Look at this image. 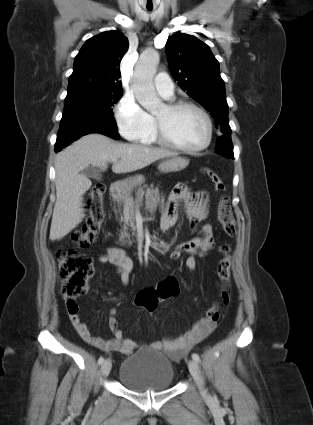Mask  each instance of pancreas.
Masks as SVG:
<instances>
[{"instance_id": "obj_1", "label": "pancreas", "mask_w": 313, "mask_h": 425, "mask_svg": "<svg viewBox=\"0 0 313 425\" xmlns=\"http://www.w3.org/2000/svg\"><path fill=\"white\" fill-rule=\"evenodd\" d=\"M143 187L146 188V191ZM143 187L137 190L135 200L132 197H127L124 201L122 217L124 225L119 237V241L122 246H130L132 244L130 240H127L130 238V234L127 230L129 226L133 231L132 234H135V210L140 207L143 196H145L146 206L150 211H155L158 205L161 206L164 204V197L160 198L158 188L153 189V185H151V188H148L147 185H144Z\"/></svg>"}]
</instances>
